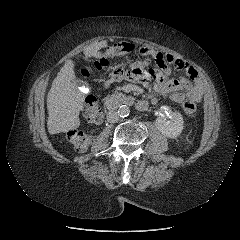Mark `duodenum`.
Segmentation results:
<instances>
[{
  "instance_id": "duodenum-1",
  "label": "duodenum",
  "mask_w": 240,
  "mask_h": 240,
  "mask_svg": "<svg viewBox=\"0 0 240 240\" xmlns=\"http://www.w3.org/2000/svg\"><path fill=\"white\" fill-rule=\"evenodd\" d=\"M119 105V102L114 99H110L106 102V109L108 111H113L115 110ZM134 106L139 110V111H145L148 109V103L144 100H137L134 101Z\"/></svg>"
}]
</instances>
